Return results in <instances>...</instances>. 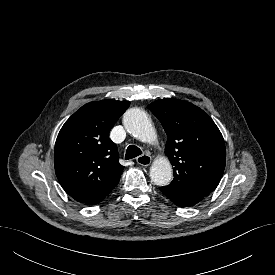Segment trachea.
<instances>
[{"mask_svg":"<svg viewBox=\"0 0 275 275\" xmlns=\"http://www.w3.org/2000/svg\"><path fill=\"white\" fill-rule=\"evenodd\" d=\"M141 154H142V151L140 150V148H138L135 145H130L126 150L125 159L129 160V159L135 158Z\"/></svg>","mask_w":275,"mask_h":275,"instance_id":"3493384b","label":"trachea"}]
</instances>
